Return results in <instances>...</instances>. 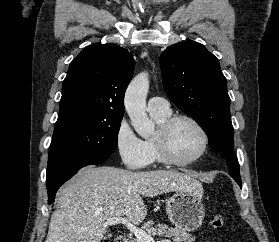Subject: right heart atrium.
Instances as JSON below:
<instances>
[{
  "label": "right heart atrium",
  "mask_w": 279,
  "mask_h": 242,
  "mask_svg": "<svg viewBox=\"0 0 279 242\" xmlns=\"http://www.w3.org/2000/svg\"><path fill=\"white\" fill-rule=\"evenodd\" d=\"M115 147L122 163L129 169H141L151 162L149 151L129 122L123 118L115 132Z\"/></svg>",
  "instance_id": "d8ad5b80"
}]
</instances>
